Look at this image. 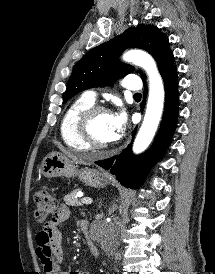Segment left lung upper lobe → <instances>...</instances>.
<instances>
[{"mask_svg": "<svg viewBox=\"0 0 215 274\" xmlns=\"http://www.w3.org/2000/svg\"><path fill=\"white\" fill-rule=\"evenodd\" d=\"M168 43V38L156 26L140 24L95 47L75 65L63 97V103L86 89L112 85L116 79L131 73L133 67L118 60L119 55L128 46L149 52L156 60L163 76L175 66L173 53ZM142 79L145 82L143 75Z\"/></svg>", "mask_w": 215, "mask_h": 274, "instance_id": "left-lung-upper-lobe-1", "label": "left lung upper lobe"}]
</instances>
